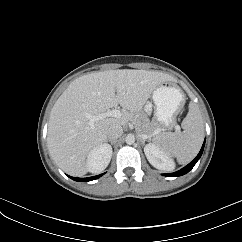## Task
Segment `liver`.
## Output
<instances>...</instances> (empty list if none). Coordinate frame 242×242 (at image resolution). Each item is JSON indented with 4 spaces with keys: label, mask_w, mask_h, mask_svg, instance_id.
I'll use <instances>...</instances> for the list:
<instances>
[{
    "label": "liver",
    "mask_w": 242,
    "mask_h": 242,
    "mask_svg": "<svg viewBox=\"0 0 242 242\" xmlns=\"http://www.w3.org/2000/svg\"><path fill=\"white\" fill-rule=\"evenodd\" d=\"M174 81L168 74L146 70H108L74 80L55 102L47 143L56 164L72 176L88 172L87 156L107 140L110 126H126L139 116L152 92ZM120 105V118H104L90 126L85 113L98 115Z\"/></svg>",
    "instance_id": "liver-1"
}]
</instances>
